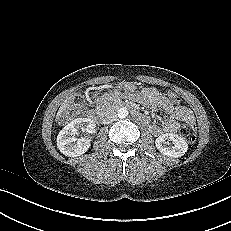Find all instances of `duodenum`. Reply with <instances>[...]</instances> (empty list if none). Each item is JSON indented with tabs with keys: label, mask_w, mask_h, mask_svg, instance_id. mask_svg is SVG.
<instances>
[{
	"label": "duodenum",
	"mask_w": 231,
	"mask_h": 231,
	"mask_svg": "<svg viewBox=\"0 0 231 231\" xmlns=\"http://www.w3.org/2000/svg\"><path fill=\"white\" fill-rule=\"evenodd\" d=\"M121 108H130L135 117L139 120L143 119V116L138 113L137 111H135L134 106L129 104V103H125V102H117L115 103L113 106L111 107H103L101 109L98 110L97 114H91V119L94 122L100 123L101 121H103L105 119V117L113 110V109H121Z\"/></svg>",
	"instance_id": "410a0bca"
}]
</instances>
